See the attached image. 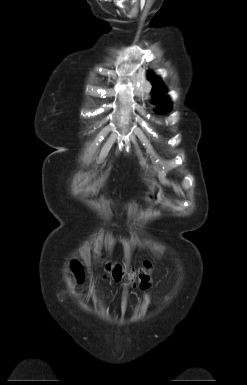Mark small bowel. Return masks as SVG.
<instances>
[{
  "mask_svg": "<svg viewBox=\"0 0 247 385\" xmlns=\"http://www.w3.org/2000/svg\"><path fill=\"white\" fill-rule=\"evenodd\" d=\"M123 306L125 307V298H124Z\"/></svg>",
  "mask_w": 247,
  "mask_h": 385,
  "instance_id": "c3829d8e",
  "label": "small bowel"
}]
</instances>
